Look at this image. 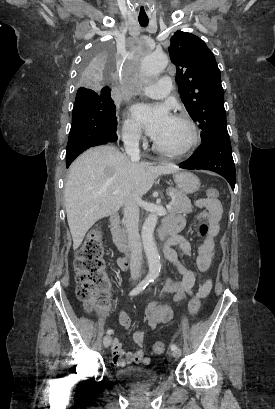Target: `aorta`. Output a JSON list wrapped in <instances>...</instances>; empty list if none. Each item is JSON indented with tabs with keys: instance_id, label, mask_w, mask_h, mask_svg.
Here are the masks:
<instances>
[{
	"instance_id": "1",
	"label": "aorta",
	"mask_w": 275,
	"mask_h": 409,
	"mask_svg": "<svg viewBox=\"0 0 275 409\" xmlns=\"http://www.w3.org/2000/svg\"><path fill=\"white\" fill-rule=\"evenodd\" d=\"M144 60L142 64L143 72L150 76V74H157L164 70L168 64V56H164L163 51H144ZM158 215H149L145 219L142 227V243L145 255L149 265V273L146 275L147 281H154L160 275L161 263L155 241L153 239L154 229L157 225Z\"/></svg>"
}]
</instances>
